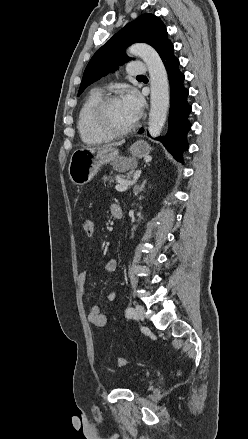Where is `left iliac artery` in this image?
<instances>
[{
	"label": "left iliac artery",
	"instance_id": "obj_1",
	"mask_svg": "<svg viewBox=\"0 0 248 439\" xmlns=\"http://www.w3.org/2000/svg\"><path fill=\"white\" fill-rule=\"evenodd\" d=\"M134 313H135V311H134V308H132V307H128L125 311L127 318L133 317Z\"/></svg>",
	"mask_w": 248,
	"mask_h": 439
}]
</instances>
